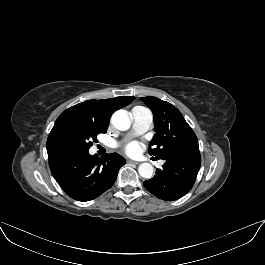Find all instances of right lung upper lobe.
Wrapping results in <instances>:
<instances>
[{
	"mask_svg": "<svg viewBox=\"0 0 265 265\" xmlns=\"http://www.w3.org/2000/svg\"><path fill=\"white\" fill-rule=\"evenodd\" d=\"M135 97L121 96L103 100H88L66 109L56 120L50 134L59 126L67 122H81L92 124L95 127L106 130L113 112L130 104ZM48 137V138H49ZM48 159L57 155L47 140Z\"/></svg>",
	"mask_w": 265,
	"mask_h": 265,
	"instance_id": "obj_1",
	"label": "right lung upper lobe"
}]
</instances>
